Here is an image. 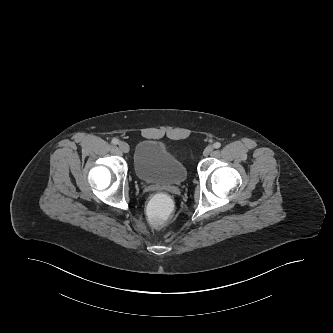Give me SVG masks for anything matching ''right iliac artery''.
<instances>
[{
  "label": "right iliac artery",
  "mask_w": 333,
  "mask_h": 333,
  "mask_svg": "<svg viewBox=\"0 0 333 333\" xmlns=\"http://www.w3.org/2000/svg\"><path fill=\"white\" fill-rule=\"evenodd\" d=\"M112 143H113L114 145H117V144L119 143V140L116 139V138H114V139H112Z\"/></svg>",
  "instance_id": "1"
}]
</instances>
